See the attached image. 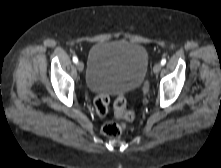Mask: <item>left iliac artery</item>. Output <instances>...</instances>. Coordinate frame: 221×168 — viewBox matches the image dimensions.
<instances>
[{
  "label": "left iliac artery",
  "instance_id": "44dca946",
  "mask_svg": "<svg viewBox=\"0 0 221 168\" xmlns=\"http://www.w3.org/2000/svg\"><path fill=\"white\" fill-rule=\"evenodd\" d=\"M162 66L163 65H165L166 64V59L165 58H163L162 60H161V63H160Z\"/></svg>",
  "mask_w": 221,
  "mask_h": 168
}]
</instances>
